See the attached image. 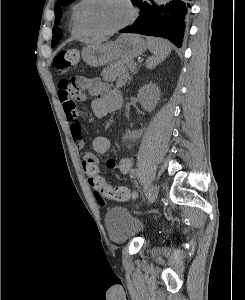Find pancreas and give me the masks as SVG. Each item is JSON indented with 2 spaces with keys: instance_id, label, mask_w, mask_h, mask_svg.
Instances as JSON below:
<instances>
[{
  "instance_id": "obj_1",
  "label": "pancreas",
  "mask_w": 245,
  "mask_h": 300,
  "mask_svg": "<svg viewBox=\"0 0 245 300\" xmlns=\"http://www.w3.org/2000/svg\"><path fill=\"white\" fill-rule=\"evenodd\" d=\"M132 60H121L108 65L101 73L102 79L107 82L116 81L117 87H123L130 80L129 71H134Z\"/></svg>"
}]
</instances>
